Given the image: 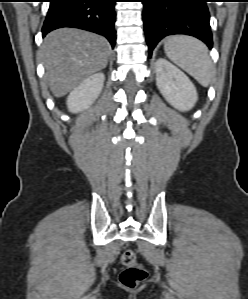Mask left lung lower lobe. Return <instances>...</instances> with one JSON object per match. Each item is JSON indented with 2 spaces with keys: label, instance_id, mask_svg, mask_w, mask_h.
<instances>
[{
  "label": "left lung lower lobe",
  "instance_id": "left-lung-lower-lobe-1",
  "mask_svg": "<svg viewBox=\"0 0 248 299\" xmlns=\"http://www.w3.org/2000/svg\"><path fill=\"white\" fill-rule=\"evenodd\" d=\"M207 0H142L149 54L167 35L186 34L212 47Z\"/></svg>",
  "mask_w": 248,
  "mask_h": 299
}]
</instances>
